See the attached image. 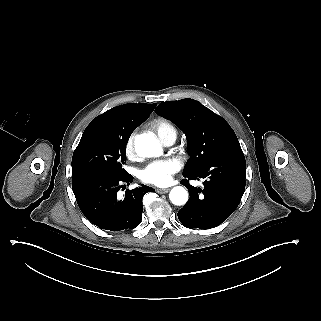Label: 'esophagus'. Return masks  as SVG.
Segmentation results:
<instances>
[{"label":"esophagus","instance_id":"1","mask_svg":"<svg viewBox=\"0 0 321 321\" xmlns=\"http://www.w3.org/2000/svg\"><path fill=\"white\" fill-rule=\"evenodd\" d=\"M170 190V188H157L156 192L159 194L167 193Z\"/></svg>","mask_w":321,"mask_h":321}]
</instances>
